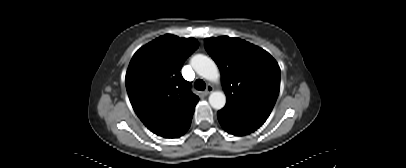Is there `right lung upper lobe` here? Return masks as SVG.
I'll return each mask as SVG.
<instances>
[{
  "instance_id": "1",
  "label": "right lung upper lobe",
  "mask_w": 406,
  "mask_h": 168,
  "mask_svg": "<svg viewBox=\"0 0 406 168\" xmlns=\"http://www.w3.org/2000/svg\"><path fill=\"white\" fill-rule=\"evenodd\" d=\"M199 46L194 38L163 35L133 56L125 78L130 102L153 133L170 138L194 113L199 100L180 69Z\"/></svg>"
}]
</instances>
